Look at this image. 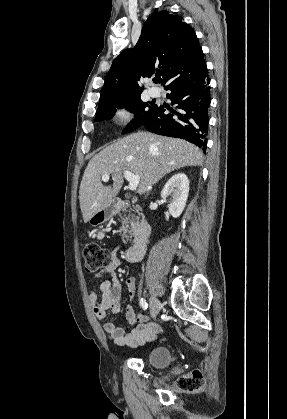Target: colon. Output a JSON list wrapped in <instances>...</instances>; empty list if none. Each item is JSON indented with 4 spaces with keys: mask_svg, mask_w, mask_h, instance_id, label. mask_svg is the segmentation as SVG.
<instances>
[{
    "mask_svg": "<svg viewBox=\"0 0 287 419\" xmlns=\"http://www.w3.org/2000/svg\"><path fill=\"white\" fill-rule=\"evenodd\" d=\"M83 255L85 259V268L89 272H95L106 267L111 260L109 250L95 243L84 246ZM204 385V377L200 369H194L191 373L182 376L177 381V386L186 391L201 389Z\"/></svg>",
    "mask_w": 287,
    "mask_h": 419,
    "instance_id": "colon-1",
    "label": "colon"
}]
</instances>
